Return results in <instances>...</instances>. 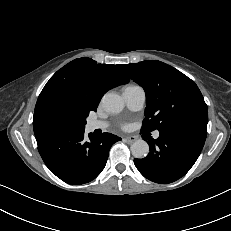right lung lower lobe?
Segmentation results:
<instances>
[{
  "mask_svg": "<svg viewBox=\"0 0 231 231\" xmlns=\"http://www.w3.org/2000/svg\"><path fill=\"white\" fill-rule=\"evenodd\" d=\"M38 151L49 170L64 182L72 185L87 183L104 169L110 147L121 140L111 133L99 137L84 130L59 135L36 136Z\"/></svg>",
  "mask_w": 231,
  "mask_h": 231,
  "instance_id": "obj_1",
  "label": "right lung lower lobe"
}]
</instances>
